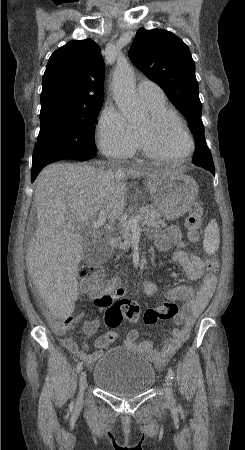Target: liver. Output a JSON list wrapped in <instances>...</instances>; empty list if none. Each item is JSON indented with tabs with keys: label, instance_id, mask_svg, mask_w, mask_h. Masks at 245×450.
<instances>
[{
	"label": "liver",
	"instance_id": "liver-1",
	"mask_svg": "<svg viewBox=\"0 0 245 450\" xmlns=\"http://www.w3.org/2000/svg\"><path fill=\"white\" fill-rule=\"evenodd\" d=\"M163 169H103L54 163L36 179L38 226L26 250V265L49 310L58 317L74 311L76 275L85 238L68 225L80 226L104 211L110 219L125 208L126 175L151 176Z\"/></svg>",
	"mask_w": 245,
	"mask_h": 450
}]
</instances>
